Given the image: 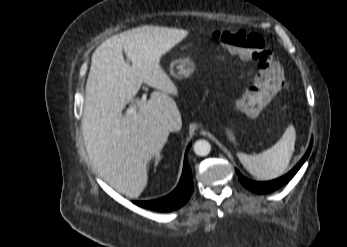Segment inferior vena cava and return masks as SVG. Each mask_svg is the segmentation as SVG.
Wrapping results in <instances>:
<instances>
[{
    "label": "inferior vena cava",
    "mask_w": 347,
    "mask_h": 247,
    "mask_svg": "<svg viewBox=\"0 0 347 247\" xmlns=\"http://www.w3.org/2000/svg\"><path fill=\"white\" fill-rule=\"evenodd\" d=\"M174 126H175V122L173 120L172 121H166L163 123L164 130L169 131V132L174 130Z\"/></svg>",
    "instance_id": "inferior-vena-cava-1"
}]
</instances>
